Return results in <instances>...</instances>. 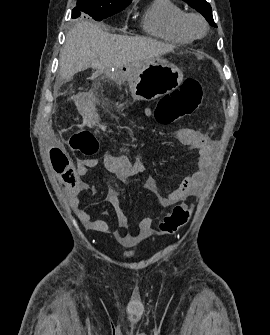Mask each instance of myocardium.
<instances>
[{
    "label": "myocardium",
    "mask_w": 270,
    "mask_h": 335,
    "mask_svg": "<svg viewBox=\"0 0 270 335\" xmlns=\"http://www.w3.org/2000/svg\"><path fill=\"white\" fill-rule=\"evenodd\" d=\"M199 21L202 25H203V32L202 34H196L192 28V21ZM182 26L183 29L185 30V32L187 34H189L192 38H202L204 37L207 32H208V24L206 22V20L199 14L197 13H189V14H185L183 21H182Z\"/></svg>",
    "instance_id": "myocardium-1"
}]
</instances>
